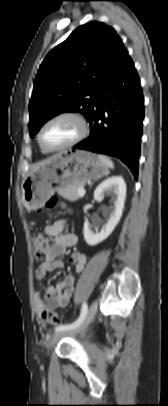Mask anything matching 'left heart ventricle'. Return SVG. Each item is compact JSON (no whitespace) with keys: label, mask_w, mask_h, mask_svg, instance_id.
Listing matches in <instances>:
<instances>
[{"label":"left heart ventricle","mask_w":168,"mask_h":406,"mask_svg":"<svg viewBox=\"0 0 168 406\" xmlns=\"http://www.w3.org/2000/svg\"><path fill=\"white\" fill-rule=\"evenodd\" d=\"M78 124L71 119L56 120L46 126L42 137L45 145L59 147L67 144L77 136Z\"/></svg>","instance_id":"b2bd125f"}]
</instances>
